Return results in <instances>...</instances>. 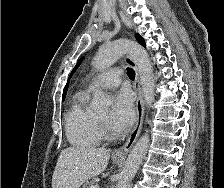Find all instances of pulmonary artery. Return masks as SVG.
Segmentation results:
<instances>
[{"instance_id": "pulmonary-artery-1", "label": "pulmonary artery", "mask_w": 224, "mask_h": 188, "mask_svg": "<svg viewBox=\"0 0 224 188\" xmlns=\"http://www.w3.org/2000/svg\"><path fill=\"white\" fill-rule=\"evenodd\" d=\"M121 75L122 71L120 69L114 68L107 70L95 79L94 85L103 89L115 88L121 82ZM92 88L93 86H89L88 90Z\"/></svg>"}]
</instances>
